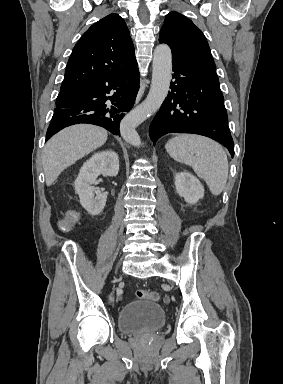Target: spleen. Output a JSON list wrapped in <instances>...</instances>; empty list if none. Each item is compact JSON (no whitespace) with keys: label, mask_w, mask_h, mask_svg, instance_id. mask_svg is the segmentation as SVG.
<instances>
[{"label":"spleen","mask_w":283,"mask_h":384,"mask_svg":"<svg viewBox=\"0 0 283 384\" xmlns=\"http://www.w3.org/2000/svg\"><path fill=\"white\" fill-rule=\"evenodd\" d=\"M165 148L173 160L191 166L213 196L223 192L228 178V158L220 144L204 136L181 134L169 140Z\"/></svg>","instance_id":"3e777b00"}]
</instances>
